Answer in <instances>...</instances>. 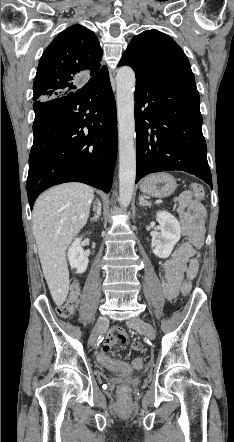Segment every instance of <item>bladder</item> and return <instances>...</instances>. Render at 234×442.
<instances>
[{
	"label": "bladder",
	"mask_w": 234,
	"mask_h": 442,
	"mask_svg": "<svg viewBox=\"0 0 234 442\" xmlns=\"http://www.w3.org/2000/svg\"><path fill=\"white\" fill-rule=\"evenodd\" d=\"M119 375H120V376L127 377V376H131L132 373H131V372H122V373H119Z\"/></svg>",
	"instance_id": "obj_1"
}]
</instances>
